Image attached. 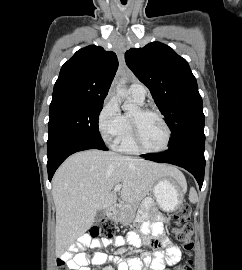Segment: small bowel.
Returning a JSON list of instances; mask_svg holds the SVG:
<instances>
[{
    "label": "small bowel",
    "mask_w": 242,
    "mask_h": 270,
    "mask_svg": "<svg viewBox=\"0 0 242 270\" xmlns=\"http://www.w3.org/2000/svg\"><path fill=\"white\" fill-rule=\"evenodd\" d=\"M137 222L140 224L139 230L129 233L127 241L136 248L141 246L153 247V257L149 253H143L140 257L117 259L118 270H144L143 265H147L151 270H169L167 269L168 266L181 260L182 252L180 248L172 244L165 234V224L167 223L165 215L158 214L154 219L149 220L148 213L141 211L138 214ZM112 244L122 247L125 242L121 238L112 242L106 239H91L83 236L76 245L62 254L59 261L63 263L67 270H90L89 264L99 266L106 263L108 257L100 249ZM84 247L98 250L92 257H89L82 250Z\"/></svg>",
    "instance_id": "c3829d8e"
}]
</instances>
